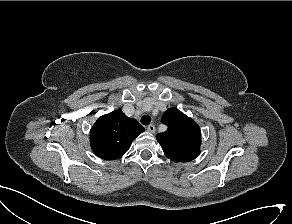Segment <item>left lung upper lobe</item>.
Here are the masks:
<instances>
[{
	"label": "left lung upper lobe",
	"instance_id": "left-lung-upper-lobe-1",
	"mask_svg": "<svg viewBox=\"0 0 292 224\" xmlns=\"http://www.w3.org/2000/svg\"><path fill=\"white\" fill-rule=\"evenodd\" d=\"M168 130L156 136L164 154L174 162H188L200 154L201 131L199 125L177 108L163 114Z\"/></svg>",
	"mask_w": 292,
	"mask_h": 224
}]
</instances>
